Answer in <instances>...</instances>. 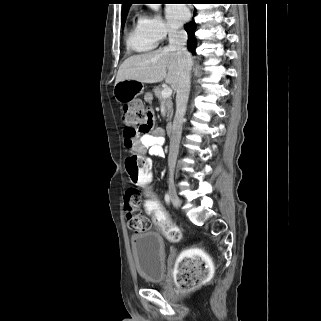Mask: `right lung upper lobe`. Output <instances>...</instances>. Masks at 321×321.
I'll list each match as a JSON object with an SVG mask.
<instances>
[{"label": "right lung upper lobe", "mask_w": 321, "mask_h": 321, "mask_svg": "<svg viewBox=\"0 0 321 321\" xmlns=\"http://www.w3.org/2000/svg\"><path fill=\"white\" fill-rule=\"evenodd\" d=\"M122 14L128 12L130 5L133 3L134 0H122Z\"/></svg>", "instance_id": "obj_1"}]
</instances>
